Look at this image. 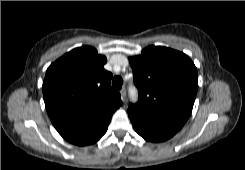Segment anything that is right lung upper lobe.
I'll return each instance as SVG.
<instances>
[{
  "mask_svg": "<svg viewBox=\"0 0 245 170\" xmlns=\"http://www.w3.org/2000/svg\"><path fill=\"white\" fill-rule=\"evenodd\" d=\"M105 56L90 46L75 48L47 69L42 91L48 115L68 142L84 146L98 141L122 104L111 88Z\"/></svg>",
  "mask_w": 245,
  "mask_h": 170,
  "instance_id": "right-lung-upper-lobe-1",
  "label": "right lung upper lobe"
}]
</instances>
